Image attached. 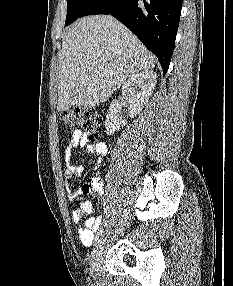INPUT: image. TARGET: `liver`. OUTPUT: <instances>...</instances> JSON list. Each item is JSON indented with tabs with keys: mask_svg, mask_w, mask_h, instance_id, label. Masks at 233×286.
I'll use <instances>...</instances> for the list:
<instances>
[{
	"mask_svg": "<svg viewBox=\"0 0 233 286\" xmlns=\"http://www.w3.org/2000/svg\"><path fill=\"white\" fill-rule=\"evenodd\" d=\"M155 64L152 53L112 16L83 17L68 28L62 40L57 110L99 106L127 78Z\"/></svg>",
	"mask_w": 233,
	"mask_h": 286,
	"instance_id": "1",
	"label": "liver"
}]
</instances>
